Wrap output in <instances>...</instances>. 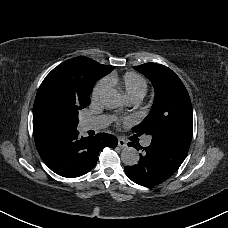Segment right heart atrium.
I'll list each match as a JSON object with an SVG mask.
<instances>
[{"label":"right heart atrium","instance_id":"d8ad5b80","mask_svg":"<svg viewBox=\"0 0 228 228\" xmlns=\"http://www.w3.org/2000/svg\"><path fill=\"white\" fill-rule=\"evenodd\" d=\"M107 93L104 85H98L93 92V100L97 101L104 98V95Z\"/></svg>","mask_w":228,"mask_h":228}]
</instances>
